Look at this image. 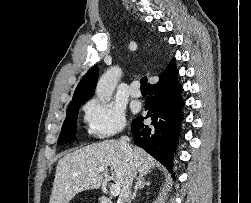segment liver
<instances>
[{
	"label": "liver",
	"instance_id": "liver-1",
	"mask_svg": "<svg viewBox=\"0 0 251 203\" xmlns=\"http://www.w3.org/2000/svg\"><path fill=\"white\" fill-rule=\"evenodd\" d=\"M132 156L116 140H106L88 145L66 154L58 161L49 203H69L79 192L100 188L103 175L99 167H111V178L120 188L127 173H148L156 161L143 149L133 147Z\"/></svg>",
	"mask_w": 251,
	"mask_h": 203
}]
</instances>
